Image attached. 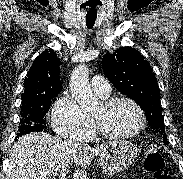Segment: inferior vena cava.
<instances>
[{
    "instance_id": "obj_1",
    "label": "inferior vena cava",
    "mask_w": 183,
    "mask_h": 179,
    "mask_svg": "<svg viewBox=\"0 0 183 179\" xmlns=\"http://www.w3.org/2000/svg\"><path fill=\"white\" fill-rule=\"evenodd\" d=\"M67 144L71 149H77V148L81 147V144L79 142H77L76 140H72V139L68 140Z\"/></svg>"
}]
</instances>
